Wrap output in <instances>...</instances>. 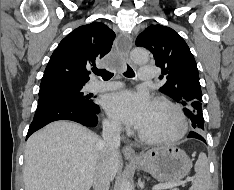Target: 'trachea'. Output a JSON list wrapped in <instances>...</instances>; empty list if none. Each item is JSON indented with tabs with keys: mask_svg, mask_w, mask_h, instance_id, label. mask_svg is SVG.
<instances>
[{
	"mask_svg": "<svg viewBox=\"0 0 234 190\" xmlns=\"http://www.w3.org/2000/svg\"><path fill=\"white\" fill-rule=\"evenodd\" d=\"M93 72H94V74L101 76L102 79L105 81L111 79L114 75L112 72H109L105 69H96ZM124 76H126V77H134L135 76L134 71L132 70V68L129 65H127V70L124 72Z\"/></svg>",
	"mask_w": 234,
	"mask_h": 190,
	"instance_id": "3493384b",
	"label": "trachea"
}]
</instances>
